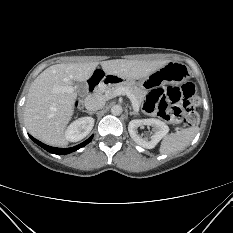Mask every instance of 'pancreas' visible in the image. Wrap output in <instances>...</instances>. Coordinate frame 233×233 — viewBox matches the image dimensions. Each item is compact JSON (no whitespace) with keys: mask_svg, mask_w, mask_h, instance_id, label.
<instances>
[{"mask_svg":"<svg viewBox=\"0 0 233 233\" xmlns=\"http://www.w3.org/2000/svg\"><path fill=\"white\" fill-rule=\"evenodd\" d=\"M119 87H124V88L128 89L134 96V104L137 105L138 107H140V105L144 99V96H145V91H143L137 87L130 86L128 84L121 83V84H116V85H111V86L105 87L106 96L111 97L114 90H116Z\"/></svg>","mask_w":233,"mask_h":233,"instance_id":"obj_1","label":"pancreas"}]
</instances>
